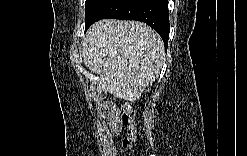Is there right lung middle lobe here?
Masks as SVG:
<instances>
[{
  "instance_id": "right-lung-middle-lobe-1",
  "label": "right lung middle lobe",
  "mask_w": 247,
  "mask_h": 156,
  "mask_svg": "<svg viewBox=\"0 0 247 156\" xmlns=\"http://www.w3.org/2000/svg\"><path fill=\"white\" fill-rule=\"evenodd\" d=\"M109 0H86L85 29L93 22Z\"/></svg>"
}]
</instances>
